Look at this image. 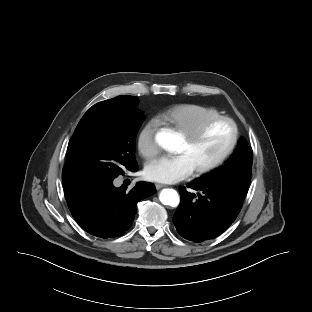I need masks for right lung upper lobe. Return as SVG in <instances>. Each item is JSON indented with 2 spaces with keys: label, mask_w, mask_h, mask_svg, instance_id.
<instances>
[{
  "label": "right lung upper lobe",
  "mask_w": 312,
  "mask_h": 312,
  "mask_svg": "<svg viewBox=\"0 0 312 312\" xmlns=\"http://www.w3.org/2000/svg\"><path fill=\"white\" fill-rule=\"evenodd\" d=\"M130 97L132 96H118V97L113 98L112 100H127Z\"/></svg>",
  "instance_id": "right-lung-upper-lobe-1"
}]
</instances>
